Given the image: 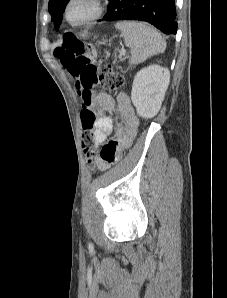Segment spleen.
I'll list each match as a JSON object with an SVG mask.
<instances>
[{
  "label": "spleen",
  "mask_w": 227,
  "mask_h": 298,
  "mask_svg": "<svg viewBox=\"0 0 227 298\" xmlns=\"http://www.w3.org/2000/svg\"><path fill=\"white\" fill-rule=\"evenodd\" d=\"M115 27L121 31L126 47L131 49V65L140 64L153 55L163 53L166 48V41L161 34L144 23L121 21Z\"/></svg>",
  "instance_id": "1"
}]
</instances>
